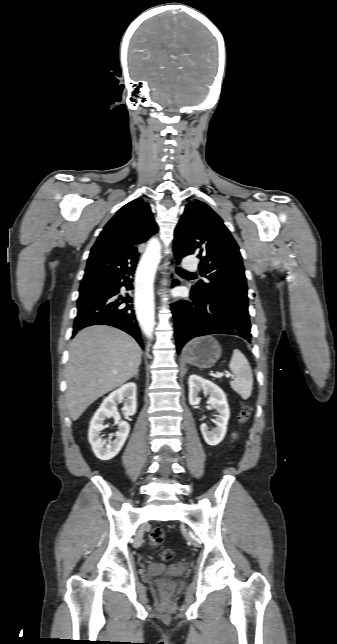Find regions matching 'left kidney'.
Instances as JSON below:
<instances>
[{
    "label": "left kidney",
    "instance_id": "1",
    "mask_svg": "<svg viewBox=\"0 0 337 644\" xmlns=\"http://www.w3.org/2000/svg\"><path fill=\"white\" fill-rule=\"evenodd\" d=\"M188 384L189 403L191 405H198L200 403L201 398L198 394L202 390L204 395H210L208 402L218 413L214 421L216 428L212 431L208 430L205 423L200 426L205 442L208 445L215 446L224 439L227 431L228 420L230 418V410L226 395L222 389L213 382L194 374L189 376Z\"/></svg>",
    "mask_w": 337,
    "mask_h": 644
}]
</instances>
